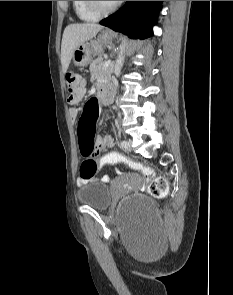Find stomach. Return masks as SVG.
Returning a JSON list of instances; mask_svg holds the SVG:
<instances>
[{
    "label": "stomach",
    "mask_w": 233,
    "mask_h": 295,
    "mask_svg": "<svg viewBox=\"0 0 233 295\" xmlns=\"http://www.w3.org/2000/svg\"><path fill=\"white\" fill-rule=\"evenodd\" d=\"M115 34L111 30H103L97 39L80 44L73 52L72 59L76 66H87L93 58V55H100L104 46L112 42Z\"/></svg>",
    "instance_id": "obj_1"
}]
</instances>
